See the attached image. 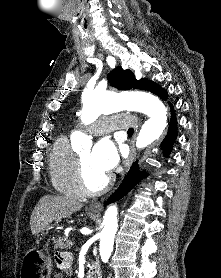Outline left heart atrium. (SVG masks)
Masks as SVG:
<instances>
[{
	"instance_id": "39dd6f15",
	"label": "left heart atrium",
	"mask_w": 221,
	"mask_h": 278,
	"mask_svg": "<svg viewBox=\"0 0 221 278\" xmlns=\"http://www.w3.org/2000/svg\"><path fill=\"white\" fill-rule=\"evenodd\" d=\"M93 165L101 172L110 173L118 163V152L115 144L109 139L100 140L91 152Z\"/></svg>"
}]
</instances>
